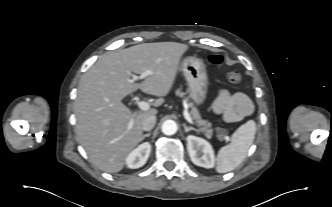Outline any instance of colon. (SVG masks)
<instances>
[{"instance_id": "1", "label": "colon", "mask_w": 332, "mask_h": 207, "mask_svg": "<svg viewBox=\"0 0 332 207\" xmlns=\"http://www.w3.org/2000/svg\"><path fill=\"white\" fill-rule=\"evenodd\" d=\"M208 60L212 63V64H216L219 65L223 62V57L221 55L218 54H212L208 57ZM227 78L230 82L236 83L240 80L241 75L240 72L235 69V68H230L227 70L226 72ZM227 130L225 128H219L217 130V137L219 139H224L227 137Z\"/></svg>"}]
</instances>
